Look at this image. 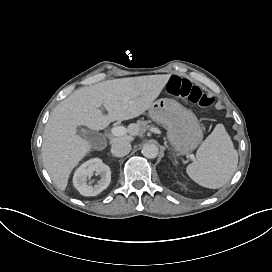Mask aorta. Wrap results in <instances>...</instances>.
Returning <instances> with one entry per match:
<instances>
[{
    "mask_svg": "<svg viewBox=\"0 0 272 272\" xmlns=\"http://www.w3.org/2000/svg\"><path fill=\"white\" fill-rule=\"evenodd\" d=\"M159 149L154 144H146L142 148V155L149 159H154L158 156Z\"/></svg>",
    "mask_w": 272,
    "mask_h": 272,
    "instance_id": "762f6f07",
    "label": "aorta"
}]
</instances>
